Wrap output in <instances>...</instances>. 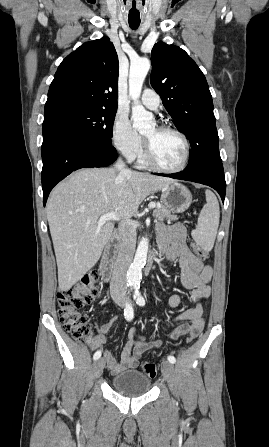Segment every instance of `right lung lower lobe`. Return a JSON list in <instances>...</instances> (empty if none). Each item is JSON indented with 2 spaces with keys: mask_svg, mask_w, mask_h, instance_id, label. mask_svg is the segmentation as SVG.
<instances>
[{
  "mask_svg": "<svg viewBox=\"0 0 269 447\" xmlns=\"http://www.w3.org/2000/svg\"><path fill=\"white\" fill-rule=\"evenodd\" d=\"M117 159L115 148L89 137L66 121L44 118L42 189L45 206L52 188L80 168L105 167Z\"/></svg>",
  "mask_w": 269,
  "mask_h": 447,
  "instance_id": "right-lung-lower-lobe-1",
  "label": "right lung lower lobe"
}]
</instances>
